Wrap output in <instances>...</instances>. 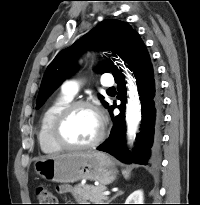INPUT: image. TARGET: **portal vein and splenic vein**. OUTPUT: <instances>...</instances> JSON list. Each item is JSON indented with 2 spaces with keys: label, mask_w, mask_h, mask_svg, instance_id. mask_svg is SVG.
I'll return each mask as SVG.
<instances>
[{
  "label": "portal vein and splenic vein",
  "mask_w": 200,
  "mask_h": 205,
  "mask_svg": "<svg viewBox=\"0 0 200 205\" xmlns=\"http://www.w3.org/2000/svg\"><path fill=\"white\" fill-rule=\"evenodd\" d=\"M103 195H105V196L110 195V191H104V192H103Z\"/></svg>",
  "instance_id": "portal-vein-and-splenic-vein-1"
}]
</instances>
